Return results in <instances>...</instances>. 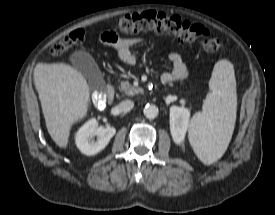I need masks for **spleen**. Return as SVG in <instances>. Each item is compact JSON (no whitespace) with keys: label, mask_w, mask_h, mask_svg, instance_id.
I'll use <instances>...</instances> for the list:
<instances>
[{"label":"spleen","mask_w":275,"mask_h":215,"mask_svg":"<svg viewBox=\"0 0 275 215\" xmlns=\"http://www.w3.org/2000/svg\"><path fill=\"white\" fill-rule=\"evenodd\" d=\"M202 112L196 113L189 125V141L205 165L225 153L235 127L237 111L236 79L232 63L219 60L209 80Z\"/></svg>","instance_id":"1"}]
</instances>
